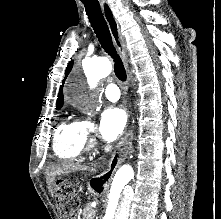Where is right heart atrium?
I'll use <instances>...</instances> for the list:
<instances>
[{"label":"right heart atrium","mask_w":221,"mask_h":219,"mask_svg":"<svg viewBox=\"0 0 221 219\" xmlns=\"http://www.w3.org/2000/svg\"><path fill=\"white\" fill-rule=\"evenodd\" d=\"M84 138L87 141L94 132V124L91 121H82Z\"/></svg>","instance_id":"right-heart-atrium-1"}]
</instances>
